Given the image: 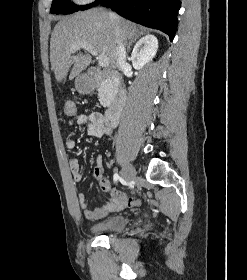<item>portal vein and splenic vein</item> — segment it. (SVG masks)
<instances>
[{
    "label": "portal vein and splenic vein",
    "mask_w": 247,
    "mask_h": 280,
    "mask_svg": "<svg viewBox=\"0 0 247 280\" xmlns=\"http://www.w3.org/2000/svg\"><path fill=\"white\" fill-rule=\"evenodd\" d=\"M80 48L85 49L86 51H88L89 53H91L94 56H97L98 59V63L101 67H108L109 66V58L105 55H98L97 50L89 44H76L74 46L71 47V51H76L79 50Z\"/></svg>",
    "instance_id": "1"
}]
</instances>
